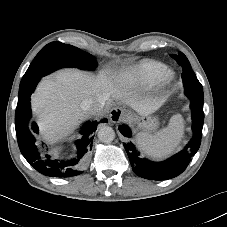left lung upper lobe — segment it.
<instances>
[{
    "instance_id": "5c2ea615",
    "label": "left lung upper lobe",
    "mask_w": 227,
    "mask_h": 227,
    "mask_svg": "<svg viewBox=\"0 0 227 227\" xmlns=\"http://www.w3.org/2000/svg\"><path fill=\"white\" fill-rule=\"evenodd\" d=\"M170 56L174 58L177 63L182 67L183 72L181 77L183 79L185 94L203 95L202 85L198 81L195 73L193 72L186 56L182 52H179L178 55L171 54Z\"/></svg>"
}]
</instances>
